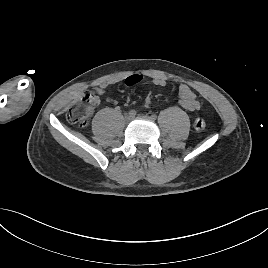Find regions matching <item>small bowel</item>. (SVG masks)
<instances>
[{
  "label": "small bowel",
  "instance_id": "small-bowel-1",
  "mask_svg": "<svg viewBox=\"0 0 268 268\" xmlns=\"http://www.w3.org/2000/svg\"><path fill=\"white\" fill-rule=\"evenodd\" d=\"M143 81V76L140 74H134L126 78L125 83L127 86H134ZM152 83L156 86H165L166 80L162 77L156 76L152 78ZM110 84L104 83L99 85L96 88V91L99 94L105 93V91L109 88ZM179 93V104L181 107L188 111H196L201 108V103L197 99L196 94L194 91L186 84H181L178 89ZM151 104V97L147 96L145 98V106H150Z\"/></svg>",
  "mask_w": 268,
  "mask_h": 268
}]
</instances>
